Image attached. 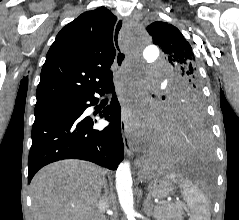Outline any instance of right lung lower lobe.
<instances>
[{
  "mask_svg": "<svg viewBox=\"0 0 239 220\" xmlns=\"http://www.w3.org/2000/svg\"><path fill=\"white\" fill-rule=\"evenodd\" d=\"M113 94L101 118L110 124L103 130H93L94 121L83 112L97 104L94 94ZM121 108L116 98L113 76L92 93L59 104L53 108L35 110L32 146L28 159V183L43 166L62 159H82L115 170L124 157L120 127Z\"/></svg>",
  "mask_w": 239,
  "mask_h": 220,
  "instance_id": "right-lung-lower-lobe-1",
  "label": "right lung lower lobe"
}]
</instances>
